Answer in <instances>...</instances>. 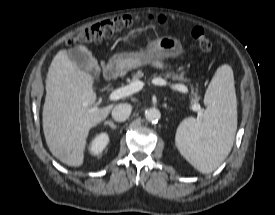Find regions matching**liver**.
Segmentation results:
<instances>
[{"label":"liver","mask_w":275,"mask_h":215,"mask_svg":"<svg viewBox=\"0 0 275 215\" xmlns=\"http://www.w3.org/2000/svg\"><path fill=\"white\" fill-rule=\"evenodd\" d=\"M135 31H131L132 35ZM88 56L81 67L66 50H60L52 60L46 79L43 106V131L50 152L62 163L79 167L84 162V150L89 130L106 119L113 106L94 107L95 75L101 71L96 58L84 45L77 47ZM105 70V63L101 61Z\"/></svg>","instance_id":"liver-1"}]
</instances>
